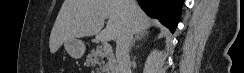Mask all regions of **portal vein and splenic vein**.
Here are the masks:
<instances>
[{
    "instance_id": "obj_1",
    "label": "portal vein and splenic vein",
    "mask_w": 244,
    "mask_h": 73,
    "mask_svg": "<svg viewBox=\"0 0 244 73\" xmlns=\"http://www.w3.org/2000/svg\"><path fill=\"white\" fill-rule=\"evenodd\" d=\"M103 50L105 53H109L112 51V48H111L110 44L104 43Z\"/></svg>"
}]
</instances>
